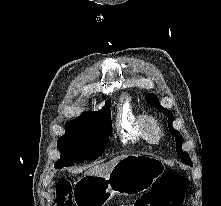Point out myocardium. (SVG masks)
Wrapping results in <instances>:
<instances>
[{
    "label": "myocardium",
    "mask_w": 221,
    "mask_h": 206,
    "mask_svg": "<svg viewBox=\"0 0 221 206\" xmlns=\"http://www.w3.org/2000/svg\"><path fill=\"white\" fill-rule=\"evenodd\" d=\"M140 130L147 142L158 144L163 138V128L153 116L145 114L140 118Z\"/></svg>",
    "instance_id": "1"
}]
</instances>
